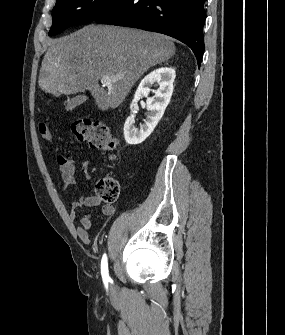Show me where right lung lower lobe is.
Returning a JSON list of instances; mask_svg holds the SVG:
<instances>
[{
	"mask_svg": "<svg viewBox=\"0 0 285 335\" xmlns=\"http://www.w3.org/2000/svg\"><path fill=\"white\" fill-rule=\"evenodd\" d=\"M206 0H120L93 21L162 33L188 45L198 66L204 53Z\"/></svg>",
	"mask_w": 285,
	"mask_h": 335,
	"instance_id": "obj_1",
	"label": "right lung lower lobe"
}]
</instances>
